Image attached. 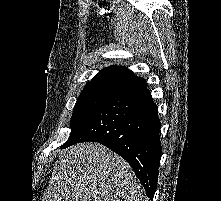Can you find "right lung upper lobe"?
<instances>
[{"label":"right lung upper lobe","instance_id":"cb5924a9","mask_svg":"<svg viewBox=\"0 0 221 201\" xmlns=\"http://www.w3.org/2000/svg\"><path fill=\"white\" fill-rule=\"evenodd\" d=\"M130 70L120 66H111L101 70L85 88L109 87L121 89L130 82L138 79Z\"/></svg>","mask_w":221,"mask_h":201}]
</instances>
